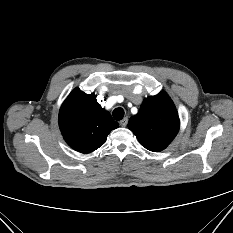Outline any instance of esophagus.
Masks as SVG:
<instances>
[{
  "label": "esophagus",
  "mask_w": 233,
  "mask_h": 233,
  "mask_svg": "<svg viewBox=\"0 0 233 233\" xmlns=\"http://www.w3.org/2000/svg\"><path fill=\"white\" fill-rule=\"evenodd\" d=\"M119 123L121 126H126L128 123V118L127 117L123 118Z\"/></svg>",
  "instance_id": "1"
}]
</instances>
